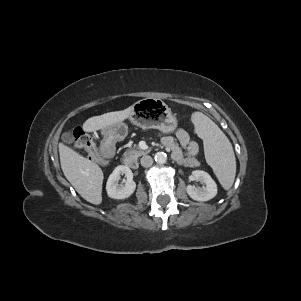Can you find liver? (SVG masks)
Returning a JSON list of instances; mask_svg holds the SVG:
<instances>
[{
  "instance_id": "6515ba94",
  "label": "liver",
  "mask_w": 301,
  "mask_h": 301,
  "mask_svg": "<svg viewBox=\"0 0 301 301\" xmlns=\"http://www.w3.org/2000/svg\"><path fill=\"white\" fill-rule=\"evenodd\" d=\"M131 113L132 107H129L122 111L94 116L85 121L83 129L86 132L103 130L122 123L129 118ZM59 155L61 168L67 180L82 198L94 205H99L102 202L104 179L101 168L63 143L59 144Z\"/></svg>"
}]
</instances>
